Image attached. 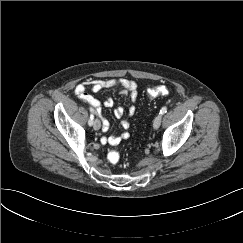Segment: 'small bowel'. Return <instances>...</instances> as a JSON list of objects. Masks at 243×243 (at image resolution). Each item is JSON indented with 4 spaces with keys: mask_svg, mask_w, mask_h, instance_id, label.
<instances>
[{
    "mask_svg": "<svg viewBox=\"0 0 243 243\" xmlns=\"http://www.w3.org/2000/svg\"><path fill=\"white\" fill-rule=\"evenodd\" d=\"M118 89L122 94L129 95L131 101L134 103L137 99V84L134 81L127 79H95L88 80L78 84L75 89V95L82 101L86 102L90 106H92L99 114L103 107L111 108L114 105V101L111 97H108L103 102L95 98L93 95L89 93V90L92 92H99L103 89ZM135 106L131 105L127 111V117L122 120V126L125 130L130 127V122L128 120L129 116H132L135 113ZM113 114L116 118H121L125 114V109L123 107H117L114 109ZM110 127V123L107 119L102 118V128L103 131H108ZM129 137V133L124 131L120 135H111L109 137H103L101 142L103 144L117 145L122 140L127 139Z\"/></svg>",
    "mask_w": 243,
    "mask_h": 243,
    "instance_id": "obj_1",
    "label": "small bowel"
}]
</instances>
